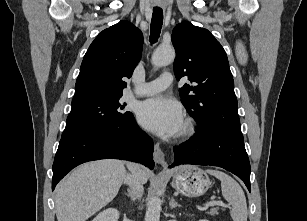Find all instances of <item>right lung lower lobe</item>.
<instances>
[{"mask_svg":"<svg viewBox=\"0 0 307 221\" xmlns=\"http://www.w3.org/2000/svg\"><path fill=\"white\" fill-rule=\"evenodd\" d=\"M154 145L136 124L126 119L61 138L53 163L52 190L77 165L98 159L117 158L154 167Z\"/></svg>","mask_w":307,"mask_h":221,"instance_id":"obj_1","label":"right lung lower lobe"}]
</instances>
